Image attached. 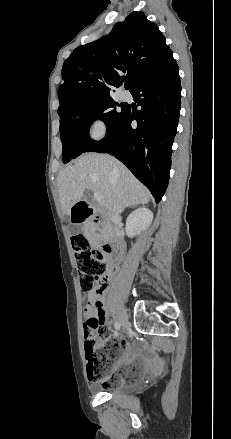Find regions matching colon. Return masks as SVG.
Returning a JSON list of instances; mask_svg holds the SVG:
<instances>
[{
  "instance_id": "obj_1",
  "label": "colon",
  "mask_w": 231,
  "mask_h": 439,
  "mask_svg": "<svg viewBox=\"0 0 231 439\" xmlns=\"http://www.w3.org/2000/svg\"><path fill=\"white\" fill-rule=\"evenodd\" d=\"M71 243L76 258V267L80 278V285L86 297L91 293H101L108 284V266L102 252L91 246L88 238L83 234L71 237ZM86 362L89 376L105 387L118 386L123 380L121 369L109 375L115 359L118 357L124 342L109 338L101 329L91 328L85 334ZM100 340L101 344L97 345ZM120 370V371H119Z\"/></svg>"
}]
</instances>
